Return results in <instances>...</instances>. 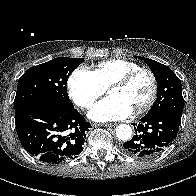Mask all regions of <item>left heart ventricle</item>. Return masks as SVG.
Here are the masks:
<instances>
[{
  "mask_svg": "<svg viewBox=\"0 0 196 196\" xmlns=\"http://www.w3.org/2000/svg\"><path fill=\"white\" fill-rule=\"evenodd\" d=\"M151 93V80L147 74H141L124 87H114L109 90L110 95L121 97L133 109L144 104Z\"/></svg>",
  "mask_w": 196,
  "mask_h": 196,
  "instance_id": "left-heart-ventricle-1",
  "label": "left heart ventricle"
}]
</instances>
